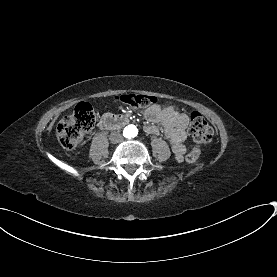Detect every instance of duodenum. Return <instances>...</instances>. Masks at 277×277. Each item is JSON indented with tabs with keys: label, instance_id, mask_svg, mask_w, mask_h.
<instances>
[{
	"label": "duodenum",
	"instance_id": "duodenum-1",
	"mask_svg": "<svg viewBox=\"0 0 277 277\" xmlns=\"http://www.w3.org/2000/svg\"><path fill=\"white\" fill-rule=\"evenodd\" d=\"M128 124V118L124 116L106 115L98 123L100 129H119Z\"/></svg>",
	"mask_w": 277,
	"mask_h": 277
}]
</instances>
